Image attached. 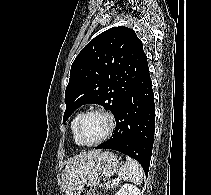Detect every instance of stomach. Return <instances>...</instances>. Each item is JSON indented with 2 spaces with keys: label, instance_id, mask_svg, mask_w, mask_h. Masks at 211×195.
Wrapping results in <instances>:
<instances>
[{
  "label": "stomach",
  "instance_id": "1",
  "mask_svg": "<svg viewBox=\"0 0 211 195\" xmlns=\"http://www.w3.org/2000/svg\"><path fill=\"white\" fill-rule=\"evenodd\" d=\"M120 165V158L113 152H101L93 161L86 184H96L102 179L115 174ZM88 195V194H87Z\"/></svg>",
  "mask_w": 211,
  "mask_h": 195
}]
</instances>
